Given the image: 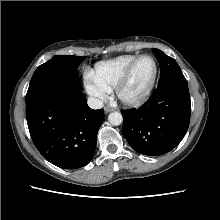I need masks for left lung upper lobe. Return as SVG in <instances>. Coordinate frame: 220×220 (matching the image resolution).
Instances as JSON below:
<instances>
[{
	"label": "left lung upper lobe",
	"mask_w": 220,
	"mask_h": 220,
	"mask_svg": "<svg viewBox=\"0 0 220 220\" xmlns=\"http://www.w3.org/2000/svg\"><path fill=\"white\" fill-rule=\"evenodd\" d=\"M152 50L160 65L161 74L158 84L174 77L184 76L177 62L172 57L167 56L159 49L153 48Z\"/></svg>",
	"instance_id": "5c2ea615"
}]
</instances>
